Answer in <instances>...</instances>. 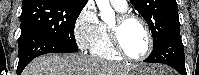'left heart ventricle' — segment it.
<instances>
[{
	"label": "left heart ventricle",
	"instance_id": "obj_1",
	"mask_svg": "<svg viewBox=\"0 0 199 75\" xmlns=\"http://www.w3.org/2000/svg\"><path fill=\"white\" fill-rule=\"evenodd\" d=\"M120 37L124 49L132 57H139L147 50V36L141 24L135 20L124 24Z\"/></svg>",
	"mask_w": 199,
	"mask_h": 75
}]
</instances>
